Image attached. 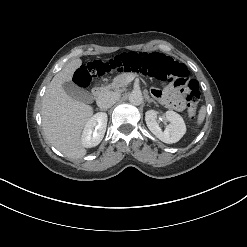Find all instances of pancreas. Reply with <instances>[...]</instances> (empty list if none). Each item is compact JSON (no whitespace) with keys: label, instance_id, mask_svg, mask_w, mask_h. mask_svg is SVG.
Returning a JSON list of instances; mask_svg holds the SVG:
<instances>
[{"label":"pancreas","instance_id":"obj_1","mask_svg":"<svg viewBox=\"0 0 247 247\" xmlns=\"http://www.w3.org/2000/svg\"><path fill=\"white\" fill-rule=\"evenodd\" d=\"M133 74L123 73L116 76L113 82L106 87V90L114 89L115 91H122L128 85V77Z\"/></svg>","mask_w":247,"mask_h":247}]
</instances>
